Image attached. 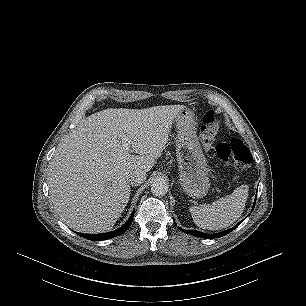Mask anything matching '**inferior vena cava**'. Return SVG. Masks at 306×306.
Returning a JSON list of instances; mask_svg holds the SVG:
<instances>
[{"instance_id":"602c4592","label":"inferior vena cava","mask_w":306,"mask_h":306,"mask_svg":"<svg viewBox=\"0 0 306 306\" xmlns=\"http://www.w3.org/2000/svg\"><path fill=\"white\" fill-rule=\"evenodd\" d=\"M146 179V174L143 171H133L129 174L127 181L130 185H140Z\"/></svg>"}]
</instances>
